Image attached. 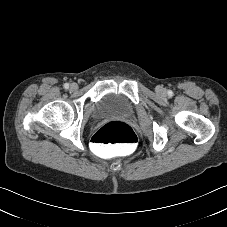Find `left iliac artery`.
<instances>
[{
	"label": "left iliac artery",
	"instance_id": "44dca946",
	"mask_svg": "<svg viewBox=\"0 0 227 227\" xmlns=\"http://www.w3.org/2000/svg\"><path fill=\"white\" fill-rule=\"evenodd\" d=\"M168 94L171 96L172 95V92L171 91H168Z\"/></svg>",
	"mask_w": 227,
	"mask_h": 227
}]
</instances>
